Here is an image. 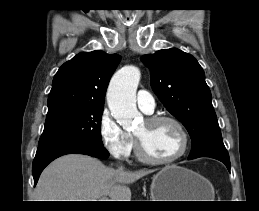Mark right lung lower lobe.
<instances>
[{
    "instance_id": "1",
    "label": "right lung lower lobe",
    "mask_w": 259,
    "mask_h": 211,
    "mask_svg": "<svg viewBox=\"0 0 259 211\" xmlns=\"http://www.w3.org/2000/svg\"><path fill=\"white\" fill-rule=\"evenodd\" d=\"M79 153L97 158H108L109 153L103 146H95L77 141H60L38 146L32 165L34 185L43 169L54 159L65 154Z\"/></svg>"
}]
</instances>
